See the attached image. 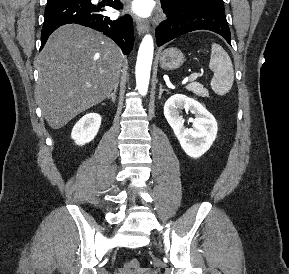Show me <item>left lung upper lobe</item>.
Segmentation results:
<instances>
[{
  "instance_id": "5c2ea615",
  "label": "left lung upper lobe",
  "mask_w": 289,
  "mask_h": 274,
  "mask_svg": "<svg viewBox=\"0 0 289 274\" xmlns=\"http://www.w3.org/2000/svg\"><path fill=\"white\" fill-rule=\"evenodd\" d=\"M173 9L189 8L197 4H213L223 6V0H161Z\"/></svg>"
}]
</instances>
